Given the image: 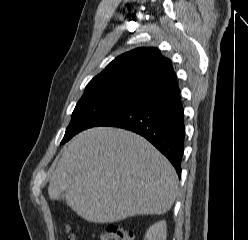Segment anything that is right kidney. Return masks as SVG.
I'll return each mask as SVG.
<instances>
[{
  "label": "right kidney",
  "instance_id": "obj_1",
  "mask_svg": "<svg viewBox=\"0 0 248 240\" xmlns=\"http://www.w3.org/2000/svg\"><path fill=\"white\" fill-rule=\"evenodd\" d=\"M166 229V221H159L147 230L144 240H166Z\"/></svg>",
  "mask_w": 248,
  "mask_h": 240
}]
</instances>
